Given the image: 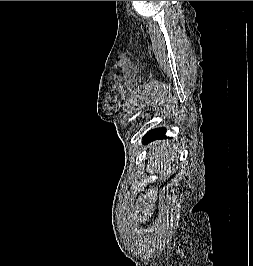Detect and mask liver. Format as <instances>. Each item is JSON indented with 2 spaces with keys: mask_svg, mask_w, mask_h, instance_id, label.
<instances>
[{
  "mask_svg": "<svg viewBox=\"0 0 253 266\" xmlns=\"http://www.w3.org/2000/svg\"><path fill=\"white\" fill-rule=\"evenodd\" d=\"M171 152L172 149L170 148L168 142H155L152 144L151 158L157 161L158 172L161 174V176L159 177L161 181L169 175L166 162L172 160ZM155 199L156 196L153 189H151L150 193H148L143 198L139 197L137 202H141L142 207H137V211H135L134 214L129 215L128 222L133 223L137 220L139 216V209L144 213L143 220H147V216L150 214V210H153L154 208ZM145 200H147V202H145Z\"/></svg>",
  "mask_w": 253,
  "mask_h": 266,
  "instance_id": "liver-1",
  "label": "liver"
}]
</instances>
